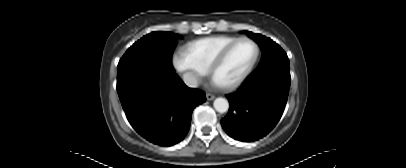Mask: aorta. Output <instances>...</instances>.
Wrapping results in <instances>:
<instances>
[{"label":"aorta","instance_id":"obj_1","mask_svg":"<svg viewBox=\"0 0 406 168\" xmlns=\"http://www.w3.org/2000/svg\"><path fill=\"white\" fill-rule=\"evenodd\" d=\"M215 110L219 113H224L229 109V103L225 98H216L213 102Z\"/></svg>","mask_w":406,"mask_h":168}]
</instances>
